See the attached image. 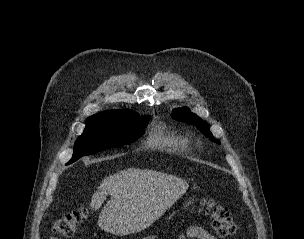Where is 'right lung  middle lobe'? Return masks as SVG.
Returning a JSON list of instances; mask_svg holds the SVG:
<instances>
[{
    "mask_svg": "<svg viewBox=\"0 0 304 239\" xmlns=\"http://www.w3.org/2000/svg\"><path fill=\"white\" fill-rule=\"evenodd\" d=\"M149 118L139 117L134 111L118 117H89L84 133L76 140L69 163L85 155L133 143L143 134Z\"/></svg>",
    "mask_w": 304,
    "mask_h": 239,
    "instance_id": "right-lung-middle-lobe-1",
    "label": "right lung middle lobe"
}]
</instances>
